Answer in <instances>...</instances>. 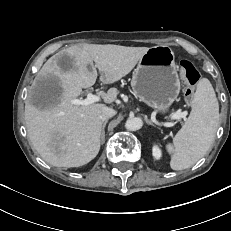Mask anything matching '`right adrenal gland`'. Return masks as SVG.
<instances>
[{"label":"right adrenal gland","mask_w":231,"mask_h":231,"mask_svg":"<svg viewBox=\"0 0 231 231\" xmlns=\"http://www.w3.org/2000/svg\"><path fill=\"white\" fill-rule=\"evenodd\" d=\"M108 120H105L103 125H102V130H101V142L104 143L105 141V126L107 124Z\"/></svg>","instance_id":"obj_1"}]
</instances>
